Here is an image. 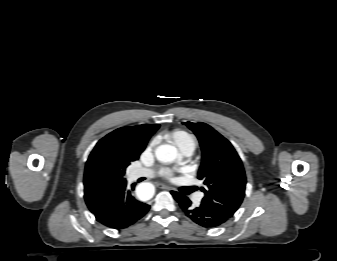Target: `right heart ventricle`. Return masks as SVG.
Instances as JSON below:
<instances>
[{
  "instance_id": "e07e8e85",
  "label": "right heart ventricle",
  "mask_w": 337,
  "mask_h": 261,
  "mask_svg": "<svg viewBox=\"0 0 337 261\" xmlns=\"http://www.w3.org/2000/svg\"><path fill=\"white\" fill-rule=\"evenodd\" d=\"M169 137L180 149L196 145L195 139L184 130H174Z\"/></svg>"
}]
</instances>
